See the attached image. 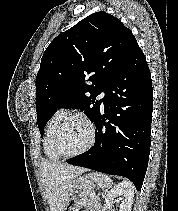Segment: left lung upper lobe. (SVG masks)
Returning a JSON list of instances; mask_svg holds the SVG:
<instances>
[{
  "instance_id": "1",
  "label": "left lung upper lobe",
  "mask_w": 178,
  "mask_h": 211,
  "mask_svg": "<svg viewBox=\"0 0 178 211\" xmlns=\"http://www.w3.org/2000/svg\"><path fill=\"white\" fill-rule=\"evenodd\" d=\"M137 41L116 17L96 12L58 35L45 50L36 76L37 124L61 107L85 110L95 121L103 99L95 98L127 61ZM89 80L92 85L85 84Z\"/></svg>"
}]
</instances>
